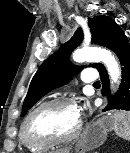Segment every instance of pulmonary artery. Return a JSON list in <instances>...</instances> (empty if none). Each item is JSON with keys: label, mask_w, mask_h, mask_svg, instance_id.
Returning a JSON list of instances; mask_svg holds the SVG:
<instances>
[{"label": "pulmonary artery", "mask_w": 130, "mask_h": 153, "mask_svg": "<svg viewBox=\"0 0 130 153\" xmlns=\"http://www.w3.org/2000/svg\"><path fill=\"white\" fill-rule=\"evenodd\" d=\"M98 73L96 70H86L82 73V81L86 84L97 81Z\"/></svg>", "instance_id": "1"}]
</instances>
